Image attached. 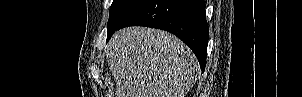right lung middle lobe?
<instances>
[{
    "label": "right lung middle lobe",
    "mask_w": 302,
    "mask_h": 97,
    "mask_svg": "<svg viewBox=\"0 0 302 97\" xmlns=\"http://www.w3.org/2000/svg\"><path fill=\"white\" fill-rule=\"evenodd\" d=\"M145 0H114L110 8L107 25V41L119 27L122 21L138 8Z\"/></svg>",
    "instance_id": "obj_1"
}]
</instances>
